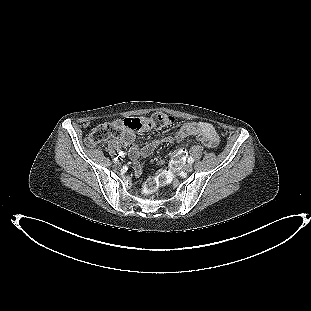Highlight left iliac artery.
<instances>
[{"instance_id":"left-iliac-artery-1","label":"left iliac artery","mask_w":311,"mask_h":311,"mask_svg":"<svg viewBox=\"0 0 311 311\" xmlns=\"http://www.w3.org/2000/svg\"><path fill=\"white\" fill-rule=\"evenodd\" d=\"M193 162H194V159H193L192 157H189V158H188V163H189V164H192Z\"/></svg>"}]
</instances>
